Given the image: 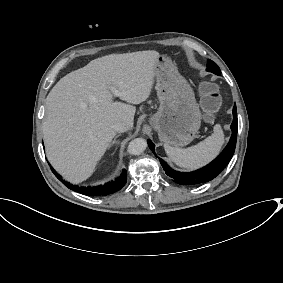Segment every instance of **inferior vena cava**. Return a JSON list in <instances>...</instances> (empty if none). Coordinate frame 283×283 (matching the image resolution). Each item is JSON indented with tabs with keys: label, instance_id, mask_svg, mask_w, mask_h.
I'll return each instance as SVG.
<instances>
[{
	"label": "inferior vena cava",
	"instance_id": "inferior-vena-cava-1",
	"mask_svg": "<svg viewBox=\"0 0 283 283\" xmlns=\"http://www.w3.org/2000/svg\"><path fill=\"white\" fill-rule=\"evenodd\" d=\"M114 128L117 132H125L127 131L129 128L128 124L126 122H120V123H116L114 125Z\"/></svg>",
	"mask_w": 283,
	"mask_h": 283
}]
</instances>
